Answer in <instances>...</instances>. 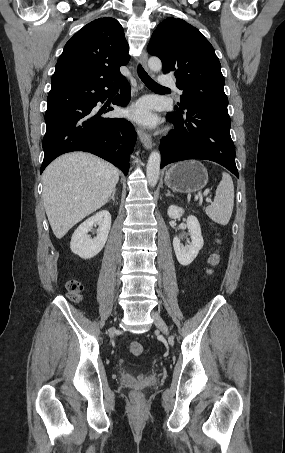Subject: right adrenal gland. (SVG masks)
I'll return each instance as SVG.
<instances>
[{
  "mask_svg": "<svg viewBox=\"0 0 285 453\" xmlns=\"http://www.w3.org/2000/svg\"><path fill=\"white\" fill-rule=\"evenodd\" d=\"M116 189L113 190L112 192V195L110 196V198L107 200V203L110 202V200H112L113 202H115V194H116Z\"/></svg>",
  "mask_w": 285,
  "mask_h": 453,
  "instance_id": "2a0ac1e0",
  "label": "right adrenal gland"
}]
</instances>
